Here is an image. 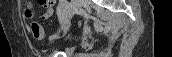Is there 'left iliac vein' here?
<instances>
[{"label":"left iliac vein","mask_w":172,"mask_h":57,"mask_svg":"<svg viewBox=\"0 0 172 57\" xmlns=\"http://www.w3.org/2000/svg\"><path fill=\"white\" fill-rule=\"evenodd\" d=\"M83 1L80 0H72L69 5L63 7V12L69 11V14L65 17V24H68L71 20V17L78 11L79 7H81Z\"/></svg>","instance_id":"4c4485c4"}]
</instances>
